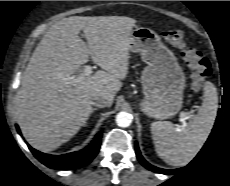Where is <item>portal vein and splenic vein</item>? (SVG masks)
<instances>
[{
	"mask_svg": "<svg viewBox=\"0 0 230 186\" xmlns=\"http://www.w3.org/2000/svg\"><path fill=\"white\" fill-rule=\"evenodd\" d=\"M83 72H84V76H87V77L90 76L92 73V67L90 65H86L84 67ZM69 80H70V83L76 84L82 81V77L72 76ZM190 117H191L190 113L181 112L179 121L181 122L182 126L186 125V119H189Z\"/></svg>",
	"mask_w": 230,
	"mask_h": 186,
	"instance_id": "portal-vein-and-splenic-vein-1",
	"label": "portal vein and splenic vein"
}]
</instances>
